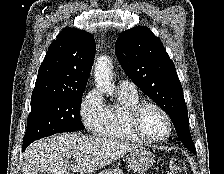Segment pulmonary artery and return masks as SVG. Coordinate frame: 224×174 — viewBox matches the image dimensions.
Returning <instances> with one entry per match:
<instances>
[{"instance_id":"pulmonary-artery-1","label":"pulmonary artery","mask_w":224,"mask_h":174,"mask_svg":"<svg viewBox=\"0 0 224 174\" xmlns=\"http://www.w3.org/2000/svg\"><path fill=\"white\" fill-rule=\"evenodd\" d=\"M118 89L127 92H136L135 84L128 80H120L118 82Z\"/></svg>"}]
</instances>
